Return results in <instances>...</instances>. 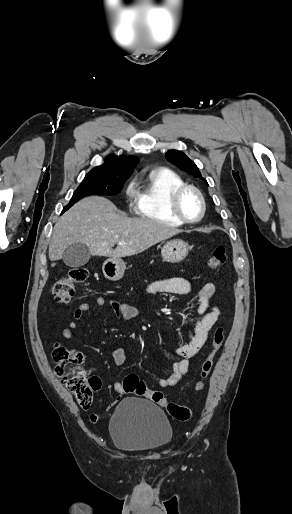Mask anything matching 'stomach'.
I'll list each match as a JSON object with an SVG mask.
<instances>
[{
  "label": "stomach",
  "mask_w": 292,
  "mask_h": 514,
  "mask_svg": "<svg viewBox=\"0 0 292 514\" xmlns=\"http://www.w3.org/2000/svg\"><path fill=\"white\" fill-rule=\"evenodd\" d=\"M188 254V244L183 240H170L166 242L161 250L163 262H170V264H178L185 260ZM103 274L107 280L117 282L121 280L126 268L123 260L120 258H109L102 266Z\"/></svg>",
  "instance_id": "stomach-1"
}]
</instances>
